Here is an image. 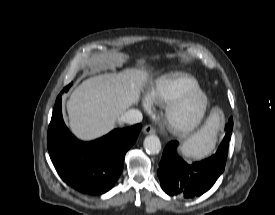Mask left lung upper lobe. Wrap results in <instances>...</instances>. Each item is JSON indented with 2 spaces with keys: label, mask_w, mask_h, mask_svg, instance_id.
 Masks as SVG:
<instances>
[{
  "label": "left lung upper lobe",
  "mask_w": 275,
  "mask_h": 215,
  "mask_svg": "<svg viewBox=\"0 0 275 215\" xmlns=\"http://www.w3.org/2000/svg\"><path fill=\"white\" fill-rule=\"evenodd\" d=\"M230 124H231V120L229 119V123L226 125V127L230 126ZM227 154H228V145L226 146L225 144H221L215 156L226 160Z\"/></svg>",
  "instance_id": "obj_1"
}]
</instances>
